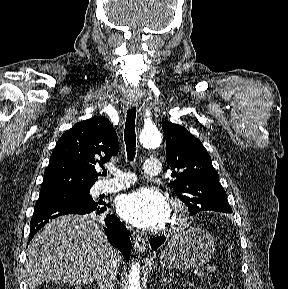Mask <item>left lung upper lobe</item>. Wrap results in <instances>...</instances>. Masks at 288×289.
I'll return each instance as SVG.
<instances>
[{
  "label": "left lung upper lobe",
  "instance_id": "obj_1",
  "mask_svg": "<svg viewBox=\"0 0 288 289\" xmlns=\"http://www.w3.org/2000/svg\"><path fill=\"white\" fill-rule=\"evenodd\" d=\"M162 129L166 136V160L175 178L171 185L188 206L190 215L203 210L231 213L219 175L201 141L169 121L163 122Z\"/></svg>",
  "mask_w": 288,
  "mask_h": 289
}]
</instances>
